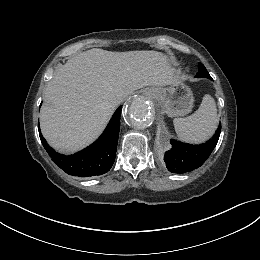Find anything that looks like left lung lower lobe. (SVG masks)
<instances>
[{
    "instance_id": "obj_1",
    "label": "left lung lower lobe",
    "mask_w": 260,
    "mask_h": 260,
    "mask_svg": "<svg viewBox=\"0 0 260 260\" xmlns=\"http://www.w3.org/2000/svg\"><path fill=\"white\" fill-rule=\"evenodd\" d=\"M220 132L221 125L212 139L201 145H190L172 139V147L164 156L167 169L172 173H186L200 167L215 148Z\"/></svg>"
}]
</instances>
